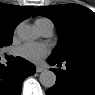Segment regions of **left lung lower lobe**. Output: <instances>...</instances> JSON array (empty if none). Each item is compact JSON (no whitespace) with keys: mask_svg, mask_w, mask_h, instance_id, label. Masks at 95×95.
I'll use <instances>...</instances> for the list:
<instances>
[{"mask_svg":"<svg viewBox=\"0 0 95 95\" xmlns=\"http://www.w3.org/2000/svg\"><path fill=\"white\" fill-rule=\"evenodd\" d=\"M51 65L59 61L50 57ZM66 70H55L56 84L46 91L47 95H95V60L79 59L64 61Z\"/></svg>","mask_w":95,"mask_h":95,"instance_id":"left-lung-lower-lobe-1","label":"left lung lower lobe"}]
</instances>
